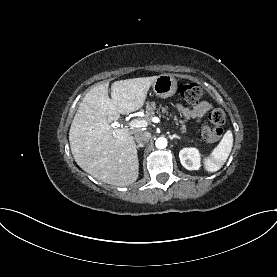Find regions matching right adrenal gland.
Listing matches in <instances>:
<instances>
[{"label":"right adrenal gland","instance_id":"2a0ac1e0","mask_svg":"<svg viewBox=\"0 0 277 277\" xmlns=\"http://www.w3.org/2000/svg\"><path fill=\"white\" fill-rule=\"evenodd\" d=\"M142 147H144L143 144H139V145L136 146L137 149L142 148Z\"/></svg>","mask_w":277,"mask_h":277}]
</instances>
